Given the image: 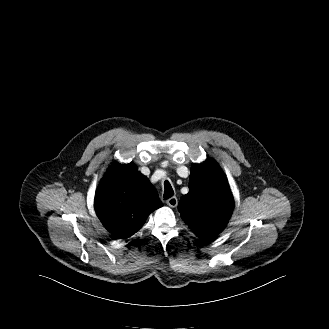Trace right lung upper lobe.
Here are the masks:
<instances>
[{"mask_svg": "<svg viewBox=\"0 0 329 329\" xmlns=\"http://www.w3.org/2000/svg\"><path fill=\"white\" fill-rule=\"evenodd\" d=\"M94 206L105 228L125 239L136 233L162 202L134 164L113 162L96 191Z\"/></svg>", "mask_w": 329, "mask_h": 329, "instance_id": "1", "label": "right lung upper lobe"}]
</instances>
